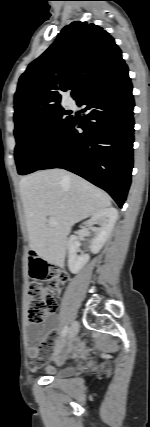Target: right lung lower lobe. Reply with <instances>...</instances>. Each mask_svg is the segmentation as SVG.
Segmentation results:
<instances>
[{
    "label": "right lung lower lobe",
    "instance_id": "right-lung-lower-lobe-1",
    "mask_svg": "<svg viewBox=\"0 0 150 427\" xmlns=\"http://www.w3.org/2000/svg\"><path fill=\"white\" fill-rule=\"evenodd\" d=\"M77 104L86 106V115L72 119L37 170L63 168L80 175L107 191L121 208L133 168L134 100L127 66L87 91Z\"/></svg>",
    "mask_w": 150,
    "mask_h": 427
}]
</instances>
